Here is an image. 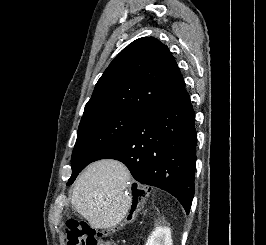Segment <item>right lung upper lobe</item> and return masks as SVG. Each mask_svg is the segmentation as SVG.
I'll use <instances>...</instances> for the list:
<instances>
[{
    "mask_svg": "<svg viewBox=\"0 0 266 245\" xmlns=\"http://www.w3.org/2000/svg\"><path fill=\"white\" fill-rule=\"evenodd\" d=\"M185 82L168 47L154 37L129 44L98 80L83 117L105 110L145 114L178 96Z\"/></svg>",
    "mask_w": 266,
    "mask_h": 245,
    "instance_id": "1",
    "label": "right lung upper lobe"
}]
</instances>
